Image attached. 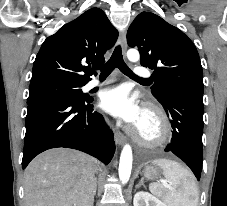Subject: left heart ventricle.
Listing matches in <instances>:
<instances>
[{
    "label": "left heart ventricle",
    "instance_id": "left-heart-ventricle-1",
    "mask_svg": "<svg viewBox=\"0 0 227 206\" xmlns=\"http://www.w3.org/2000/svg\"><path fill=\"white\" fill-rule=\"evenodd\" d=\"M137 127L140 133L145 137H152L156 133V124L152 117L146 113H143Z\"/></svg>",
    "mask_w": 227,
    "mask_h": 206
}]
</instances>
